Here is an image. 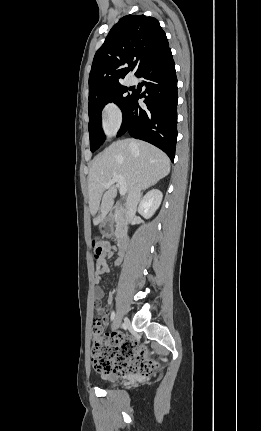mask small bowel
Here are the masks:
<instances>
[{"label": "small bowel", "mask_w": 261, "mask_h": 431, "mask_svg": "<svg viewBox=\"0 0 261 431\" xmlns=\"http://www.w3.org/2000/svg\"><path fill=\"white\" fill-rule=\"evenodd\" d=\"M111 256H112V253L109 252L107 254V258H110ZM121 262H122V258L118 257L115 260V264L116 265H120ZM109 272H110V269H109V267H108V265L106 263V259L100 260L98 262V264H97L96 276H95V284L97 286H96V289H95V299H94V302L97 305L102 304V302H103L102 298L104 297V294H105L103 288L99 286V284L101 282V279H102V275L107 274ZM112 299H113V296L110 294L109 297H108V301L111 302ZM108 315L109 314H108V312H107V310L105 308H101L100 311L98 312V317L101 318V319H104L105 321H106Z\"/></svg>", "instance_id": "obj_1"}]
</instances>
